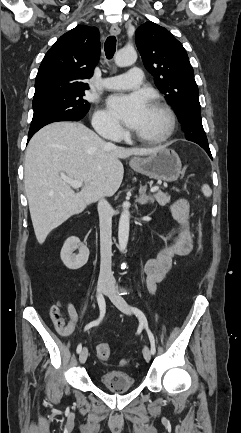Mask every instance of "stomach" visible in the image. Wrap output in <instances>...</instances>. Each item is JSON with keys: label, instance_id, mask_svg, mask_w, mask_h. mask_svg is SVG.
Here are the masks:
<instances>
[{"label": "stomach", "instance_id": "obj_1", "mask_svg": "<svg viewBox=\"0 0 241 433\" xmlns=\"http://www.w3.org/2000/svg\"><path fill=\"white\" fill-rule=\"evenodd\" d=\"M131 168L151 179L165 182L176 181L181 174V160L178 154L166 147L159 149L146 158H135L130 162Z\"/></svg>", "mask_w": 241, "mask_h": 433}]
</instances>
